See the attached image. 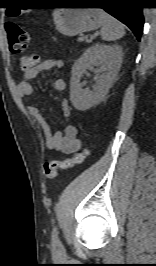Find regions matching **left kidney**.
Segmentation results:
<instances>
[{
    "instance_id": "obj_1",
    "label": "left kidney",
    "mask_w": 156,
    "mask_h": 266,
    "mask_svg": "<svg viewBox=\"0 0 156 266\" xmlns=\"http://www.w3.org/2000/svg\"><path fill=\"white\" fill-rule=\"evenodd\" d=\"M122 63V49L118 45L95 44L86 49L72 67L70 100L75 109L85 111L99 104L114 83ZM97 67L93 90L82 89V75Z\"/></svg>"
}]
</instances>
